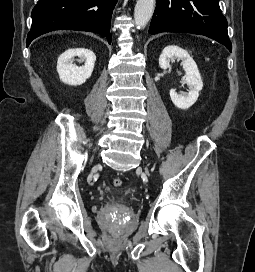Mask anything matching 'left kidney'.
Segmentation results:
<instances>
[{
	"label": "left kidney",
	"instance_id": "1",
	"mask_svg": "<svg viewBox=\"0 0 255 272\" xmlns=\"http://www.w3.org/2000/svg\"><path fill=\"white\" fill-rule=\"evenodd\" d=\"M174 59L181 60V64L186 73V80L183 84H187L189 92L186 94H178L174 89L170 90V98L173 104L180 109L190 108L198 99L199 92L203 88L201 75L197 65L189 53L175 45L165 47L159 57V65L163 70L171 68L170 62Z\"/></svg>",
	"mask_w": 255,
	"mask_h": 272
}]
</instances>
